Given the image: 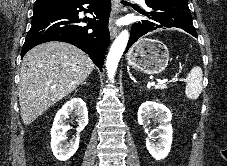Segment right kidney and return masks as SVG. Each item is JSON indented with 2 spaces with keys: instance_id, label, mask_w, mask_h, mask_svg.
<instances>
[{
  "instance_id": "ca27d5eb",
  "label": "right kidney",
  "mask_w": 227,
  "mask_h": 166,
  "mask_svg": "<svg viewBox=\"0 0 227 166\" xmlns=\"http://www.w3.org/2000/svg\"><path fill=\"white\" fill-rule=\"evenodd\" d=\"M74 113L78 116L77 135L68 143L66 132L70 127L66 124V120L70 114ZM88 124V111L85 102L80 98H73L66 102L57 112L53 126L51 128V149L59 161H66L72 157L79 147V133Z\"/></svg>"
}]
</instances>
